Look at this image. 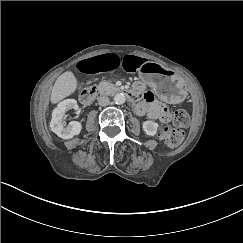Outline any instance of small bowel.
Listing matches in <instances>:
<instances>
[{
    "label": "small bowel",
    "instance_id": "c3829d8e",
    "mask_svg": "<svg viewBox=\"0 0 243 243\" xmlns=\"http://www.w3.org/2000/svg\"><path fill=\"white\" fill-rule=\"evenodd\" d=\"M143 63V58L139 56L107 53L81 61L78 64V68L84 73H99L116 69L135 72ZM136 87L142 92L143 98L135 107L137 114L147 115L150 119H159L162 122H168L170 120V113L167 107L159 102L152 92L145 91L143 84L137 83Z\"/></svg>",
    "mask_w": 243,
    "mask_h": 243
}]
</instances>
